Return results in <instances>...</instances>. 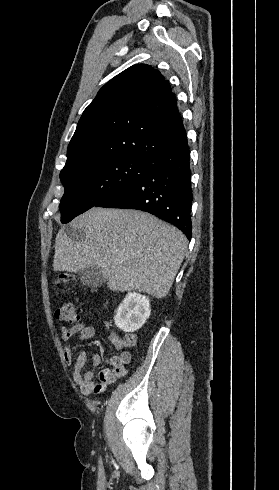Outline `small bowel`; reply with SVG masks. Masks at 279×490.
Masks as SVG:
<instances>
[{
  "label": "small bowel",
  "mask_w": 279,
  "mask_h": 490,
  "mask_svg": "<svg viewBox=\"0 0 279 490\" xmlns=\"http://www.w3.org/2000/svg\"><path fill=\"white\" fill-rule=\"evenodd\" d=\"M95 328L85 322H79L69 328H60L61 338L65 341L73 338L76 341L91 339L95 336ZM111 342L114 348L119 351L117 356L110 358L109 367L100 371L96 378L93 371L82 372L86 363L87 352L82 350L77 356L73 355L72 346H68L64 352V358L68 365L72 366V378L75 384L85 395L99 394L109 384L114 383L118 378L127 373V366L132 363L133 357L129 351L123 350V344L118 336H112ZM92 364L97 367L101 363V356L94 352L91 355Z\"/></svg>",
  "instance_id": "obj_1"
}]
</instances>
